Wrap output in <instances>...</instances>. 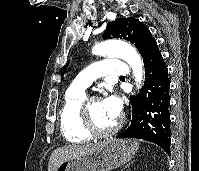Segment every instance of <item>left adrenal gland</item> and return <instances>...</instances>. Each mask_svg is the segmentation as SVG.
I'll return each mask as SVG.
<instances>
[{"label": "left adrenal gland", "mask_w": 199, "mask_h": 171, "mask_svg": "<svg viewBox=\"0 0 199 171\" xmlns=\"http://www.w3.org/2000/svg\"><path fill=\"white\" fill-rule=\"evenodd\" d=\"M129 165H130V164L126 165V166L124 167V169L127 168Z\"/></svg>", "instance_id": "obj_1"}]
</instances>
